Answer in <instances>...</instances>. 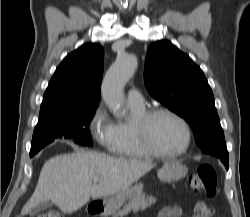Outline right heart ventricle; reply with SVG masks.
Instances as JSON below:
<instances>
[{
	"label": "right heart ventricle",
	"mask_w": 250,
	"mask_h": 217,
	"mask_svg": "<svg viewBox=\"0 0 250 217\" xmlns=\"http://www.w3.org/2000/svg\"><path fill=\"white\" fill-rule=\"evenodd\" d=\"M134 116L131 123L119 122L116 124L115 154L127 158H147L151 155L143 148L135 131V122L146 110L145 107L130 106Z\"/></svg>",
	"instance_id": "e07e8e85"
}]
</instances>
